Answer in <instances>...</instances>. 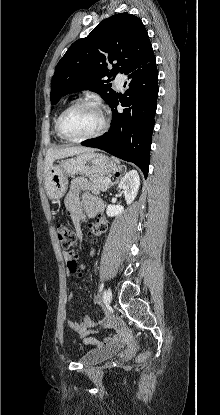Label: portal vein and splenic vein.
Returning <instances> with one entry per match:
<instances>
[{
    "mask_svg": "<svg viewBox=\"0 0 220 415\" xmlns=\"http://www.w3.org/2000/svg\"><path fill=\"white\" fill-rule=\"evenodd\" d=\"M105 181H106L107 183H109V182H111V179H110V178H106V179H105Z\"/></svg>",
    "mask_w": 220,
    "mask_h": 415,
    "instance_id": "1",
    "label": "portal vein and splenic vein"
}]
</instances>
